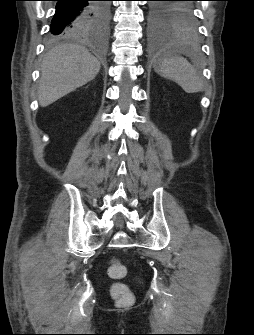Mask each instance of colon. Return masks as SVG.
<instances>
[{
    "mask_svg": "<svg viewBox=\"0 0 254 335\" xmlns=\"http://www.w3.org/2000/svg\"><path fill=\"white\" fill-rule=\"evenodd\" d=\"M127 269L119 261H113L108 266V275L114 280H121L126 276ZM111 294L122 305L130 304L133 296L128 288L122 282H116L111 286Z\"/></svg>",
    "mask_w": 254,
    "mask_h": 335,
    "instance_id": "5ec220e1",
    "label": "colon"
}]
</instances>
